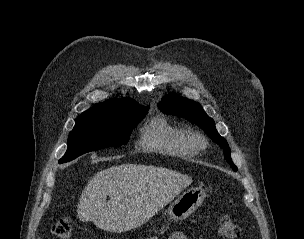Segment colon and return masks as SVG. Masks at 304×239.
<instances>
[{
	"label": "colon",
	"instance_id": "colon-1",
	"mask_svg": "<svg viewBox=\"0 0 304 239\" xmlns=\"http://www.w3.org/2000/svg\"><path fill=\"white\" fill-rule=\"evenodd\" d=\"M218 232L222 239H237L241 234V228L230 216H224L220 219ZM51 233L56 239H70L71 221L68 218L59 219L52 225Z\"/></svg>",
	"mask_w": 304,
	"mask_h": 239
}]
</instances>
